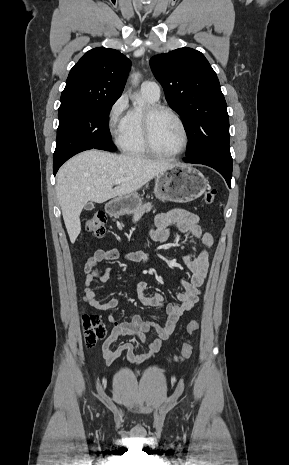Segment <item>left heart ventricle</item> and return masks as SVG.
Wrapping results in <instances>:
<instances>
[{
  "mask_svg": "<svg viewBox=\"0 0 289 465\" xmlns=\"http://www.w3.org/2000/svg\"><path fill=\"white\" fill-rule=\"evenodd\" d=\"M153 140L159 151L174 153L183 145V131L173 116L160 113L153 120Z\"/></svg>",
  "mask_w": 289,
  "mask_h": 465,
  "instance_id": "left-heart-ventricle-1",
  "label": "left heart ventricle"
}]
</instances>
